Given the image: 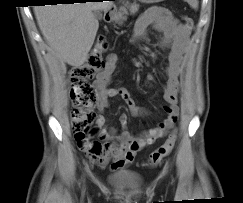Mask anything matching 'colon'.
Here are the masks:
<instances>
[{"instance_id":"5ec220e1","label":"colon","mask_w":243,"mask_h":203,"mask_svg":"<svg viewBox=\"0 0 243 203\" xmlns=\"http://www.w3.org/2000/svg\"><path fill=\"white\" fill-rule=\"evenodd\" d=\"M183 20L186 27L192 29V18L185 15ZM106 49V41L99 38L86 63L72 68L69 72L72 133L78 145H84L88 142L90 127L96 118L93 106L97 96L92 86V80L96 73L105 66L103 53ZM175 142L176 133L172 132L165 142L150 154L146 166L154 167L158 165L172 152Z\"/></svg>"}]
</instances>
